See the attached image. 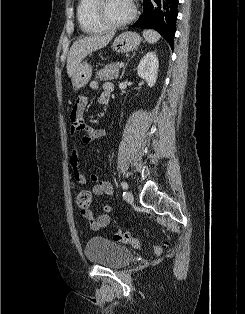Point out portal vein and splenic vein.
<instances>
[{"mask_svg": "<svg viewBox=\"0 0 245 314\" xmlns=\"http://www.w3.org/2000/svg\"><path fill=\"white\" fill-rule=\"evenodd\" d=\"M123 66H124V63L121 62V63L119 64V68H122Z\"/></svg>", "mask_w": 245, "mask_h": 314, "instance_id": "1", "label": "portal vein and splenic vein"}]
</instances>
